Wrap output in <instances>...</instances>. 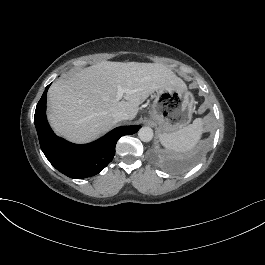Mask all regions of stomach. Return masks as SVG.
<instances>
[{
    "label": "stomach",
    "instance_id": "stomach-1",
    "mask_svg": "<svg viewBox=\"0 0 265 265\" xmlns=\"http://www.w3.org/2000/svg\"><path fill=\"white\" fill-rule=\"evenodd\" d=\"M194 109L193 95L181 87L159 89L150 114L162 134L172 133L190 123Z\"/></svg>",
    "mask_w": 265,
    "mask_h": 265
}]
</instances>
